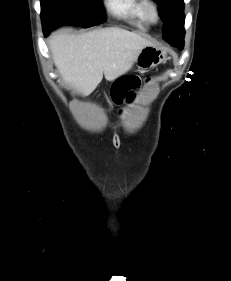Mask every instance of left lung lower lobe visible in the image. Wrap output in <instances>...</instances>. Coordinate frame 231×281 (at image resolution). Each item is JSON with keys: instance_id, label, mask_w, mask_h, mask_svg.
I'll use <instances>...</instances> for the list:
<instances>
[{"instance_id": "0a47b994", "label": "left lung lower lobe", "mask_w": 231, "mask_h": 281, "mask_svg": "<svg viewBox=\"0 0 231 281\" xmlns=\"http://www.w3.org/2000/svg\"><path fill=\"white\" fill-rule=\"evenodd\" d=\"M183 37H184L183 31H173L169 36V39L171 41L170 44L176 45L180 49H183V45H184Z\"/></svg>"}]
</instances>
